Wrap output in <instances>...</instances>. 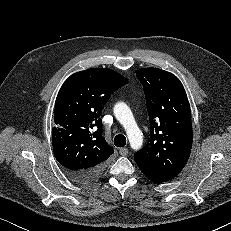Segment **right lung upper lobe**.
I'll use <instances>...</instances> for the list:
<instances>
[{
  "label": "right lung upper lobe",
  "mask_w": 231,
  "mask_h": 231,
  "mask_svg": "<svg viewBox=\"0 0 231 231\" xmlns=\"http://www.w3.org/2000/svg\"><path fill=\"white\" fill-rule=\"evenodd\" d=\"M128 80L106 68L71 75L55 102L52 145L55 158L68 172L103 168L114 153L102 135L104 105Z\"/></svg>",
  "instance_id": "1"
}]
</instances>
